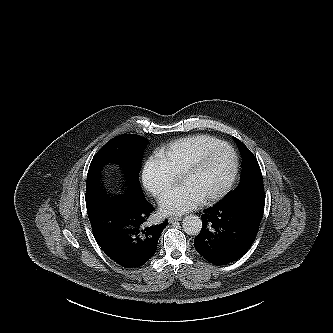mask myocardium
Returning <instances> with one entry per match:
<instances>
[{"label":"myocardium","mask_w":333,"mask_h":333,"mask_svg":"<svg viewBox=\"0 0 333 333\" xmlns=\"http://www.w3.org/2000/svg\"><path fill=\"white\" fill-rule=\"evenodd\" d=\"M228 149L233 158V165L230 174L228 175L227 179L223 183V185L217 189L215 192L209 194L208 196L203 198V201L205 203H210L213 201H216L223 196H225L230 189L232 188L238 172H239V167H240V161H239V156L236 151V149L228 142H222L218 145H215L204 152H202L200 155H198L180 174L179 177L180 179H184L194 173H196L206 162L207 160L214 155L216 152L220 151L221 149Z\"/></svg>","instance_id":"f54148a6"}]
</instances>
